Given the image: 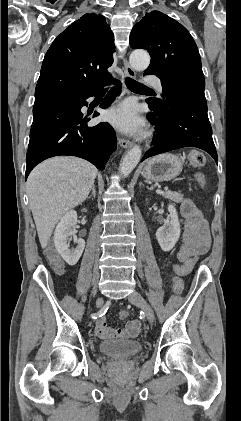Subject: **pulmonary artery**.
I'll use <instances>...</instances> for the list:
<instances>
[{"instance_id":"e3ab8cb5","label":"pulmonary artery","mask_w":241,"mask_h":421,"mask_svg":"<svg viewBox=\"0 0 241 421\" xmlns=\"http://www.w3.org/2000/svg\"><path fill=\"white\" fill-rule=\"evenodd\" d=\"M146 82L148 84L152 85L157 91H159V92L163 91L161 81L157 77H148L146 79Z\"/></svg>"}]
</instances>
